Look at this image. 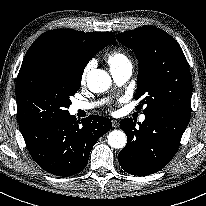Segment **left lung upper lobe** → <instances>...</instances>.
Instances as JSON below:
<instances>
[{"label":"left lung upper lobe","mask_w":206,"mask_h":206,"mask_svg":"<svg viewBox=\"0 0 206 206\" xmlns=\"http://www.w3.org/2000/svg\"><path fill=\"white\" fill-rule=\"evenodd\" d=\"M116 38L133 49L138 58L135 99L143 98L141 103L146 106L143 113L158 111L190 117L191 74L177 41L154 26L120 33Z\"/></svg>","instance_id":"obj_1"}]
</instances>
